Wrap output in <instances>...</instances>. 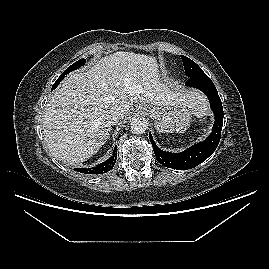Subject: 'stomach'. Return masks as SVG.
Listing matches in <instances>:
<instances>
[{
    "mask_svg": "<svg viewBox=\"0 0 269 269\" xmlns=\"http://www.w3.org/2000/svg\"><path fill=\"white\" fill-rule=\"evenodd\" d=\"M140 110L154 119L155 127L161 133H183L192 120V112L185 106L158 108L143 104Z\"/></svg>",
    "mask_w": 269,
    "mask_h": 269,
    "instance_id": "0dacf381",
    "label": "stomach"
}]
</instances>
